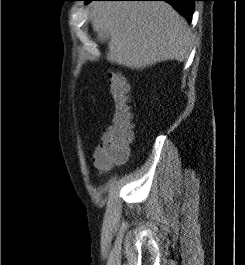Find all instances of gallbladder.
<instances>
[{
    "label": "gallbladder",
    "mask_w": 245,
    "mask_h": 265,
    "mask_svg": "<svg viewBox=\"0 0 245 265\" xmlns=\"http://www.w3.org/2000/svg\"><path fill=\"white\" fill-rule=\"evenodd\" d=\"M97 38L101 42H105L108 40L109 35L106 32L103 31H97Z\"/></svg>",
    "instance_id": "bac80fb5"
}]
</instances>
